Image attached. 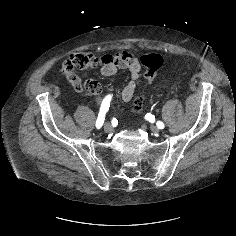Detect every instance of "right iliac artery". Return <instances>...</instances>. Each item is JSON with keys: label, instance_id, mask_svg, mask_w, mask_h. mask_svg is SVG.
Returning <instances> with one entry per match:
<instances>
[{"label": "right iliac artery", "instance_id": "obj_1", "mask_svg": "<svg viewBox=\"0 0 236 236\" xmlns=\"http://www.w3.org/2000/svg\"><path fill=\"white\" fill-rule=\"evenodd\" d=\"M111 99H112V95H107L102 101V104H101V107H100V112L98 114V118H97V121H96V127L98 129L101 128L103 123H104L105 114L109 110Z\"/></svg>", "mask_w": 236, "mask_h": 236}]
</instances>
